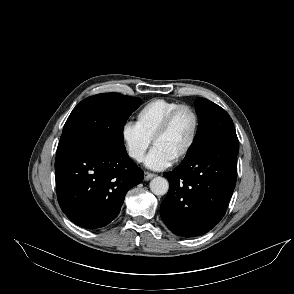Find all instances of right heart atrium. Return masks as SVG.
I'll return each instance as SVG.
<instances>
[{"label":"right heart atrium","mask_w":294,"mask_h":294,"mask_svg":"<svg viewBox=\"0 0 294 294\" xmlns=\"http://www.w3.org/2000/svg\"><path fill=\"white\" fill-rule=\"evenodd\" d=\"M120 136L127 155L132 160L141 162L151 144V139L133 121H127L122 125Z\"/></svg>","instance_id":"1"}]
</instances>
